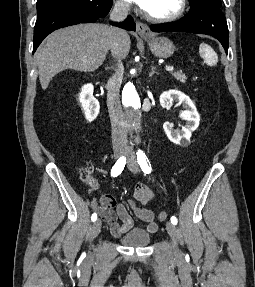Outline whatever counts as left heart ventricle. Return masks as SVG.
Instances as JSON below:
<instances>
[{"instance_id":"obj_1","label":"left heart ventricle","mask_w":255,"mask_h":287,"mask_svg":"<svg viewBox=\"0 0 255 287\" xmlns=\"http://www.w3.org/2000/svg\"><path fill=\"white\" fill-rule=\"evenodd\" d=\"M150 33H166V32H150ZM154 39H164V38H154ZM154 48H170V47H154Z\"/></svg>"}]
</instances>
